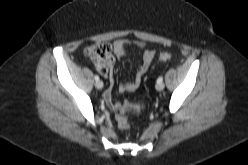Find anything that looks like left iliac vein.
Here are the masks:
<instances>
[{"mask_svg":"<svg viewBox=\"0 0 248 165\" xmlns=\"http://www.w3.org/2000/svg\"><path fill=\"white\" fill-rule=\"evenodd\" d=\"M164 87H165V84L163 82H157L156 89L158 91H162L164 89Z\"/></svg>","mask_w":248,"mask_h":165,"instance_id":"4c4485c4","label":"left iliac vein"}]
</instances>
